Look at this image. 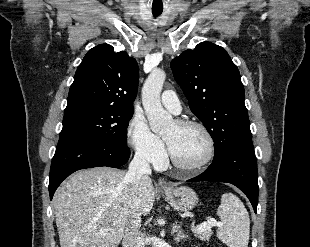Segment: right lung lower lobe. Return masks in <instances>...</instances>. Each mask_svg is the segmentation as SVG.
<instances>
[{
  "label": "right lung lower lobe",
  "instance_id": "1",
  "mask_svg": "<svg viewBox=\"0 0 310 247\" xmlns=\"http://www.w3.org/2000/svg\"><path fill=\"white\" fill-rule=\"evenodd\" d=\"M128 147H114L105 143L80 137L60 139L52 159L49 177V195L73 172L92 167L119 168L129 159Z\"/></svg>",
  "mask_w": 310,
  "mask_h": 247
}]
</instances>
